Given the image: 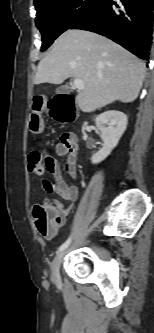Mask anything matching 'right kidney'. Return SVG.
Segmentation results:
<instances>
[{"instance_id": "ca27d5eb", "label": "right kidney", "mask_w": 154, "mask_h": 333, "mask_svg": "<svg viewBox=\"0 0 154 333\" xmlns=\"http://www.w3.org/2000/svg\"><path fill=\"white\" fill-rule=\"evenodd\" d=\"M95 122L104 143L103 147L91 157V162L98 164L117 146L126 130L128 118L123 112L112 110L100 114Z\"/></svg>"}]
</instances>
